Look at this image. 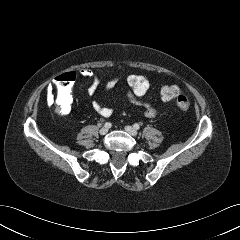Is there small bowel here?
Wrapping results in <instances>:
<instances>
[{
    "instance_id": "1",
    "label": "small bowel",
    "mask_w": 240,
    "mask_h": 240,
    "mask_svg": "<svg viewBox=\"0 0 240 240\" xmlns=\"http://www.w3.org/2000/svg\"><path fill=\"white\" fill-rule=\"evenodd\" d=\"M80 74L84 77L92 79V82L87 89V94L88 96L93 97L98 91L99 86L101 84L102 81L101 76L88 68L81 69ZM118 85L124 86L125 94L131 103L144 108L143 114L146 118H154L158 114L157 108L151 102L132 94L130 90L127 88L126 83L122 82L117 76L106 79L105 90H111ZM92 108L96 113L105 118L110 117L113 113V108L102 105L96 99L92 100Z\"/></svg>"
}]
</instances>
